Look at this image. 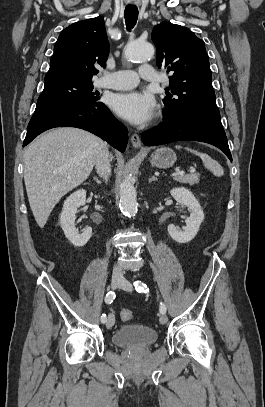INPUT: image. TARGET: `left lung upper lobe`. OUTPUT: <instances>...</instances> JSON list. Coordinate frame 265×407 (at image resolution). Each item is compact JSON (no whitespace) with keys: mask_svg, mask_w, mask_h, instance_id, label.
<instances>
[{"mask_svg":"<svg viewBox=\"0 0 265 407\" xmlns=\"http://www.w3.org/2000/svg\"><path fill=\"white\" fill-rule=\"evenodd\" d=\"M157 66L167 69L163 121L193 120L223 131L204 41L188 28L163 22L152 31Z\"/></svg>","mask_w":265,"mask_h":407,"instance_id":"5c2ea615","label":"left lung upper lobe"}]
</instances>
